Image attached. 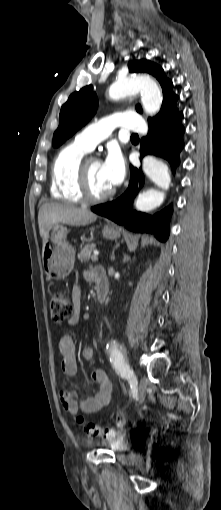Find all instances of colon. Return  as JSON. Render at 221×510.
I'll list each match as a JSON object with an SVG mask.
<instances>
[{
    "label": "colon",
    "instance_id": "5ec220e1",
    "mask_svg": "<svg viewBox=\"0 0 221 510\" xmlns=\"http://www.w3.org/2000/svg\"><path fill=\"white\" fill-rule=\"evenodd\" d=\"M74 306L70 298L63 292H55L50 299V313L52 320L57 324H63L73 315ZM76 422L83 427L84 432L89 437H111L112 430L101 428L93 423H84L81 416L76 418Z\"/></svg>",
    "mask_w": 221,
    "mask_h": 510
}]
</instances>
